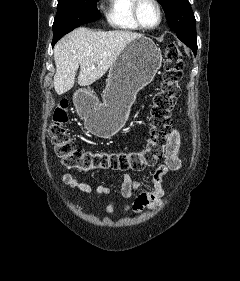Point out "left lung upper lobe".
Returning a JSON list of instances; mask_svg holds the SVG:
<instances>
[{"label":"left lung upper lobe","instance_id":"left-lung-upper-lobe-1","mask_svg":"<svg viewBox=\"0 0 240 281\" xmlns=\"http://www.w3.org/2000/svg\"><path fill=\"white\" fill-rule=\"evenodd\" d=\"M166 13L169 27L196 54V20L188 0H158Z\"/></svg>","mask_w":240,"mask_h":281}]
</instances>
